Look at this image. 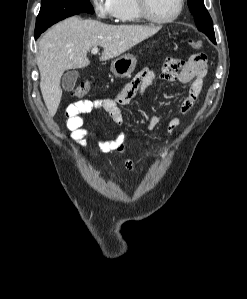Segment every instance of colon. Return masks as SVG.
<instances>
[{"mask_svg":"<svg viewBox=\"0 0 247 299\" xmlns=\"http://www.w3.org/2000/svg\"><path fill=\"white\" fill-rule=\"evenodd\" d=\"M203 43L201 40H191L190 46L194 49H200L202 47ZM91 90V85L88 81L84 80L80 82L77 87L73 90L72 94L73 96L77 98L84 97L89 93Z\"/></svg>","mask_w":247,"mask_h":299,"instance_id":"5ec220e1","label":"colon"}]
</instances>
